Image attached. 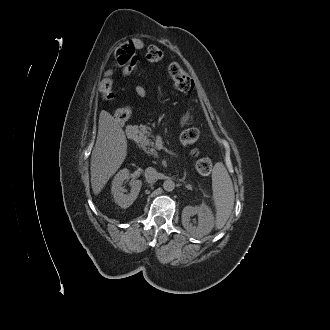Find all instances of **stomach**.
Returning a JSON list of instances; mask_svg holds the SVG:
<instances>
[{"label":"stomach","instance_id":"obj_1","mask_svg":"<svg viewBox=\"0 0 330 330\" xmlns=\"http://www.w3.org/2000/svg\"><path fill=\"white\" fill-rule=\"evenodd\" d=\"M187 120H188V115H185V116L182 117L181 123L185 124L187 122Z\"/></svg>","mask_w":330,"mask_h":330}]
</instances>
